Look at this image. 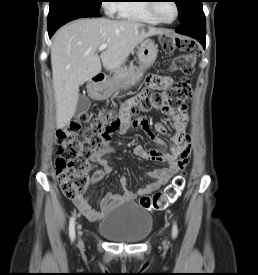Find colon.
<instances>
[{
    "mask_svg": "<svg viewBox=\"0 0 258 275\" xmlns=\"http://www.w3.org/2000/svg\"><path fill=\"white\" fill-rule=\"evenodd\" d=\"M160 43L167 53L182 52L172 61L173 71L184 75L193 73L196 55L191 39L163 34ZM152 84L156 90L135 100L122 114H115L107 109L99 110L93 117L80 113L58 130L55 169L64 196L69 199L83 198L90 182V165L88 162H80V159L90 152L100 150L112 134L126 125L127 115L152 110L168 114L179 109L191 96L192 86L187 79L181 80L170 90H161L159 79L154 80ZM185 185L186 173L182 171L163 190L152 196H142L139 203L147 210H163L177 200Z\"/></svg>",
    "mask_w": 258,
    "mask_h": 275,
    "instance_id": "obj_1",
    "label": "colon"
}]
</instances>
